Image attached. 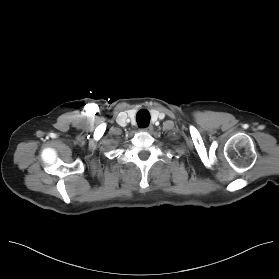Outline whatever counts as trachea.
<instances>
[{"label":"trachea","instance_id":"3493384b","mask_svg":"<svg viewBox=\"0 0 279 279\" xmlns=\"http://www.w3.org/2000/svg\"><path fill=\"white\" fill-rule=\"evenodd\" d=\"M150 118H151L150 114L147 110L142 109V110L138 111V113L136 115V121L138 123V126L140 128L147 127L149 125Z\"/></svg>","mask_w":279,"mask_h":279}]
</instances>
